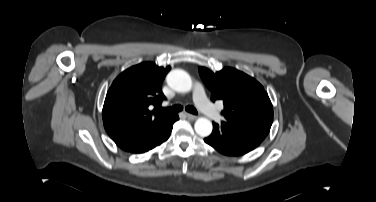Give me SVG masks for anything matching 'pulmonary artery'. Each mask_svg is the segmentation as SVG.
Segmentation results:
<instances>
[{"label": "pulmonary artery", "instance_id": "pulmonary-artery-1", "mask_svg": "<svg viewBox=\"0 0 376 202\" xmlns=\"http://www.w3.org/2000/svg\"><path fill=\"white\" fill-rule=\"evenodd\" d=\"M194 101L198 108L211 120L218 121L221 115L207 99L203 86L196 82L193 87Z\"/></svg>", "mask_w": 376, "mask_h": 202}]
</instances>
